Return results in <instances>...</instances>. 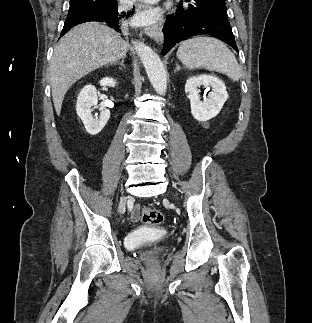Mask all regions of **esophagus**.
I'll return each instance as SVG.
<instances>
[{
  "label": "esophagus",
  "mask_w": 312,
  "mask_h": 323,
  "mask_svg": "<svg viewBox=\"0 0 312 323\" xmlns=\"http://www.w3.org/2000/svg\"><path fill=\"white\" fill-rule=\"evenodd\" d=\"M149 8V5L146 3H139L136 6V12H139L140 10H147ZM144 32L146 35H148L150 38L155 40V42L159 43L162 41L163 36L161 34V30L158 24H153L152 26H148L144 29Z\"/></svg>",
  "instance_id": "1"
}]
</instances>
